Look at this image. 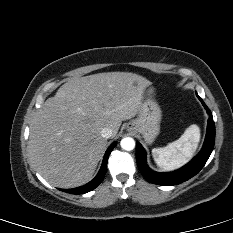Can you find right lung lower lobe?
Listing matches in <instances>:
<instances>
[{
  "label": "right lung lower lobe",
  "mask_w": 233,
  "mask_h": 233,
  "mask_svg": "<svg viewBox=\"0 0 233 233\" xmlns=\"http://www.w3.org/2000/svg\"><path fill=\"white\" fill-rule=\"evenodd\" d=\"M115 146H116V143L112 144L109 147V149L107 150V152L104 156V159H103L102 167H101L99 173L97 174V176L92 181H90L86 185L78 187V188L60 189V190H62L63 192L70 193V194H84V193H87V192L95 189L97 186H99V184L102 182V180L106 174L108 157Z\"/></svg>",
  "instance_id": "obj_1"
}]
</instances>
